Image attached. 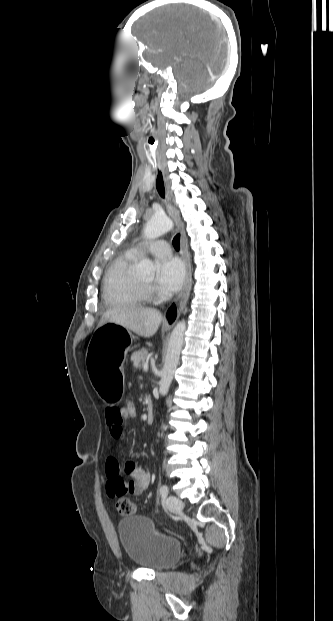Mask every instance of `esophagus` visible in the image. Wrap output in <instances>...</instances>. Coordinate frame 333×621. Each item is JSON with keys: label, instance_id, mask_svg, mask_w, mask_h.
Returning <instances> with one entry per match:
<instances>
[{"label": "esophagus", "instance_id": "34e87169", "mask_svg": "<svg viewBox=\"0 0 333 621\" xmlns=\"http://www.w3.org/2000/svg\"><path fill=\"white\" fill-rule=\"evenodd\" d=\"M155 189L162 199L163 203L166 205L167 211L169 215L174 220L177 230L180 232V247L182 259L186 266V279L184 284V289L179 295L177 301L172 303L167 312L165 319L163 320V325L165 326H173L178 320L181 312L183 311L191 290L192 285V276H191V263L190 256L187 248V238L185 235L184 227L180 219V215L178 210L170 204L171 198L169 193V187L165 183L164 175L161 170L156 171V179H155Z\"/></svg>", "mask_w": 333, "mask_h": 621}]
</instances>
